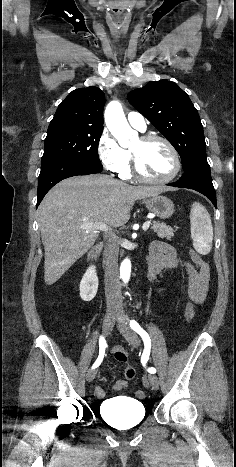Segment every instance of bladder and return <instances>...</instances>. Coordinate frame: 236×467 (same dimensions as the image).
<instances>
[{"mask_svg": "<svg viewBox=\"0 0 236 467\" xmlns=\"http://www.w3.org/2000/svg\"><path fill=\"white\" fill-rule=\"evenodd\" d=\"M99 411L113 427L127 429L139 424L145 418L141 401L129 397H115L103 401Z\"/></svg>", "mask_w": 236, "mask_h": 467, "instance_id": "1", "label": "bladder"}]
</instances>
